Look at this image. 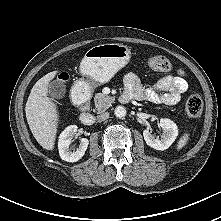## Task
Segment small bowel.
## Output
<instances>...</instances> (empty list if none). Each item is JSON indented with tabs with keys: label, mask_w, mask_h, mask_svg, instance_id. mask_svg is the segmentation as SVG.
<instances>
[{
	"label": "small bowel",
	"mask_w": 221,
	"mask_h": 221,
	"mask_svg": "<svg viewBox=\"0 0 221 221\" xmlns=\"http://www.w3.org/2000/svg\"><path fill=\"white\" fill-rule=\"evenodd\" d=\"M124 86L123 100L126 102L134 98L155 104L175 105L187 90L188 83L184 73L179 70L177 76H164L153 87H145L139 77L130 72L124 77Z\"/></svg>",
	"instance_id": "obj_1"
}]
</instances>
